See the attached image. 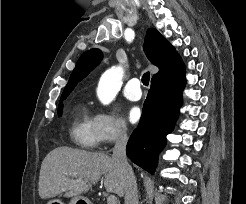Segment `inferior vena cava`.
I'll return each mask as SVG.
<instances>
[{"label": "inferior vena cava", "mask_w": 246, "mask_h": 204, "mask_svg": "<svg viewBox=\"0 0 246 204\" xmlns=\"http://www.w3.org/2000/svg\"><path fill=\"white\" fill-rule=\"evenodd\" d=\"M128 137L124 129H120L115 141L112 158L122 167L125 174V204H138V192L136 178L126 156V144Z\"/></svg>", "instance_id": "602c4592"}]
</instances>
